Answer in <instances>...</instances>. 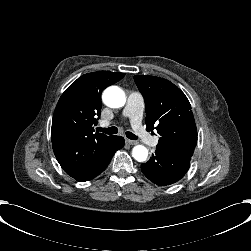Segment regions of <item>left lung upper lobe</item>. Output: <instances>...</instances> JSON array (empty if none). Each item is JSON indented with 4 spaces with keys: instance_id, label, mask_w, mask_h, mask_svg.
I'll return each instance as SVG.
<instances>
[{
    "instance_id": "5c2ea615",
    "label": "left lung upper lobe",
    "mask_w": 251,
    "mask_h": 251,
    "mask_svg": "<svg viewBox=\"0 0 251 251\" xmlns=\"http://www.w3.org/2000/svg\"><path fill=\"white\" fill-rule=\"evenodd\" d=\"M145 100L147 130L160 134L157 149L192 157L197 129L191 105L185 94L170 81L155 76H134Z\"/></svg>"
}]
</instances>
